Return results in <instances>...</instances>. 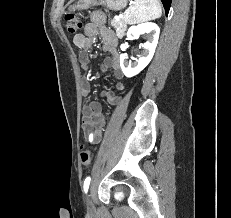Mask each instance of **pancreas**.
I'll list each match as a JSON object with an SVG mask.
<instances>
[{
  "instance_id": "cf45deb5",
  "label": "pancreas",
  "mask_w": 231,
  "mask_h": 218,
  "mask_svg": "<svg viewBox=\"0 0 231 218\" xmlns=\"http://www.w3.org/2000/svg\"><path fill=\"white\" fill-rule=\"evenodd\" d=\"M111 26L116 30L117 36L119 38H122L124 36L125 31L127 29V24L124 21V19H119V20L113 19L111 21Z\"/></svg>"
}]
</instances>
